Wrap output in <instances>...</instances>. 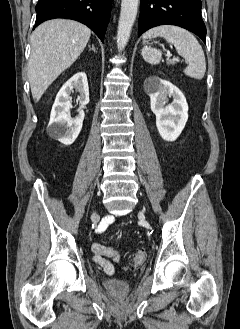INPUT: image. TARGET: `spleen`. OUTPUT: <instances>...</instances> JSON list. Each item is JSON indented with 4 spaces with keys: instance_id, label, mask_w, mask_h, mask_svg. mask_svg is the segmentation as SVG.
<instances>
[{
    "instance_id": "obj_1",
    "label": "spleen",
    "mask_w": 240,
    "mask_h": 329,
    "mask_svg": "<svg viewBox=\"0 0 240 329\" xmlns=\"http://www.w3.org/2000/svg\"><path fill=\"white\" fill-rule=\"evenodd\" d=\"M163 37L168 43L174 45L178 54L182 56L188 66L184 69L185 75L202 79L206 72L204 51L197 39L189 31L172 25H162L148 30L143 39ZM144 60L150 64H158L161 61V52L157 49L144 47L142 49Z\"/></svg>"
}]
</instances>
